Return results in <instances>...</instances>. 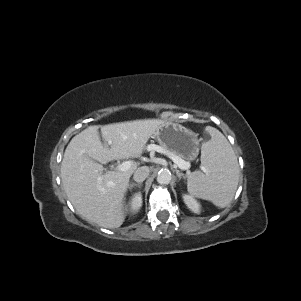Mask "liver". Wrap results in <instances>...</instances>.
<instances>
[{
  "label": "liver",
  "instance_id": "obj_1",
  "mask_svg": "<svg viewBox=\"0 0 301 301\" xmlns=\"http://www.w3.org/2000/svg\"><path fill=\"white\" fill-rule=\"evenodd\" d=\"M164 123L145 119L104 125L101 134L109 146L101 143L96 126L72 138L61 163V179L68 199L80 215L105 228L123 224L125 194L137 164L132 163L126 171L106 173L102 164L141 156L149 138Z\"/></svg>",
  "mask_w": 301,
  "mask_h": 301
}]
</instances>
